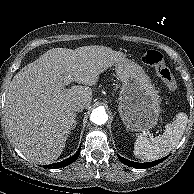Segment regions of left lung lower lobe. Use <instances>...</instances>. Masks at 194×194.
Here are the masks:
<instances>
[{"label": "left lung lower lobe", "mask_w": 194, "mask_h": 194, "mask_svg": "<svg viewBox=\"0 0 194 194\" xmlns=\"http://www.w3.org/2000/svg\"><path fill=\"white\" fill-rule=\"evenodd\" d=\"M119 159L122 163H124L125 165L127 166H130V167H134V168H141V169H145V168H150V167H153L159 163H161L164 159H166L167 157H164L162 159H159V160H156V161H153V162H147V163H138V162H133V161H130V160H127L121 156H119Z\"/></svg>", "instance_id": "obj_1"}]
</instances>
